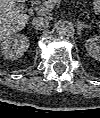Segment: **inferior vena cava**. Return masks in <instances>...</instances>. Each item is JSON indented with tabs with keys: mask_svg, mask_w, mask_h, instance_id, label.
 <instances>
[{
	"mask_svg": "<svg viewBox=\"0 0 100 118\" xmlns=\"http://www.w3.org/2000/svg\"><path fill=\"white\" fill-rule=\"evenodd\" d=\"M48 25L49 21L45 17H36L32 20V26L37 30H44Z\"/></svg>",
	"mask_w": 100,
	"mask_h": 118,
	"instance_id": "obj_1",
	"label": "inferior vena cava"
}]
</instances>
